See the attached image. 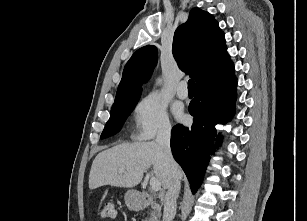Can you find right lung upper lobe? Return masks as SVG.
<instances>
[{
	"label": "right lung upper lobe",
	"mask_w": 307,
	"mask_h": 221,
	"mask_svg": "<svg viewBox=\"0 0 307 221\" xmlns=\"http://www.w3.org/2000/svg\"><path fill=\"white\" fill-rule=\"evenodd\" d=\"M172 53L179 67L195 79L196 91L235 77L224 33L214 17L199 8L192 9L187 22L176 29ZM156 62L155 46L138 49L124 68L115 102L141 94V86L149 80Z\"/></svg>",
	"instance_id": "1"
}]
</instances>
